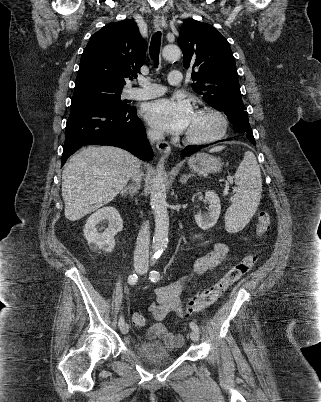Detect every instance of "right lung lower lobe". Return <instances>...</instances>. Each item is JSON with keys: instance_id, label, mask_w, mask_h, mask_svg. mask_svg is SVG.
Here are the masks:
<instances>
[{"instance_id": "obj_1", "label": "right lung lower lobe", "mask_w": 321, "mask_h": 402, "mask_svg": "<svg viewBox=\"0 0 321 402\" xmlns=\"http://www.w3.org/2000/svg\"><path fill=\"white\" fill-rule=\"evenodd\" d=\"M90 144L120 147L144 161L153 158L145 128L136 115L135 107L119 110L95 105L71 107L61 166L75 151Z\"/></svg>"}]
</instances>
